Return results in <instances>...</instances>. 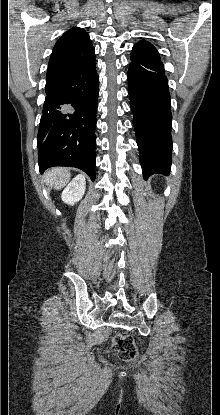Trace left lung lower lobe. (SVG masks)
<instances>
[{
    "mask_svg": "<svg viewBox=\"0 0 220 415\" xmlns=\"http://www.w3.org/2000/svg\"><path fill=\"white\" fill-rule=\"evenodd\" d=\"M128 78L140 162L145 178L171 169V106L168 80L160 60L131 57Z\"/></svg>",
    "mask_w": 220,
    "mask_h": 415,
    "instance_id": "left-lung-lower-lobe-1",
    "label": "left lung lower lobe"
}]
</instances>
